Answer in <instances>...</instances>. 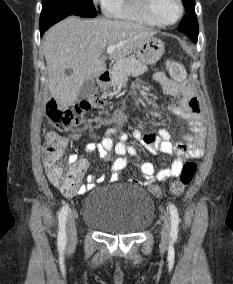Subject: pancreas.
<instances>
[{"instance_id":"pancreas-1","label":"pancreas","mask_w":233,"mask_h":284,"mask_svg":"<svg viewBox=\"0 0 233 284\" xmlns=\"http://www.w3.org/2000/svg\"><path fill=\"white\" fill-rule=\"evenodd\" d=\"M147 70V66L138 60L135 55L120 59L115 65L113 84L115 87H119L128 76H138Z\"/></svg>"}]
</instances>
